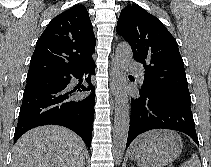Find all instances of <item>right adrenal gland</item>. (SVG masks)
Instances as JSON below:
<instances>
[{
	"label": "right adrenal gland",
	"instance_id": "1",
	"mask_svg": "<svg viewBox=\"0 0 211 167\" xmlns=\"http://www.w3.org/2000/svg\"><path fill=\"white\" fill-rule=\"evenodd\" d=\"M86 163H84L83 167H85Z\"/></svg>",
	"mask_w": 211,
	"mask_h": 167
}]
</instances>
